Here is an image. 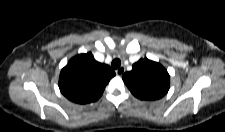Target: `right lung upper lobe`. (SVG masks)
Returning <instances> with one entry per match:
<instances>
[{"mask_svg": "<svg viewBox=\"0 0 225 132\" xmlns=\"http://www.w3.org/2000/svg\"><path fill=\"white\" fill-rule=\"evenodd\" d=\"M115 72L97 62L89 52L73 57L61 70L59 88L62 94L78 104L97 101Z\"/></svg>", "mask_w": 225, "mask_h": 132, "instance_id": "1", "label": "right lung upper lobe"}]
</instances>
